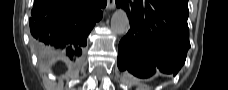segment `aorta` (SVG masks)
Masks as SVG:
<instances>
[{"label":"aorta","mask_w":228,"mask_h":90,"mask_svg":"<svg viewBox=\"0 0 228 90\" xmlns=\"http://www.w3.org/2000/svg\"><path fill=\"white\" fill-rule=\"evenodd\" d=\"M111 28L114 33L122 35L129 30V19L126 12L122 9L115 11L111 18Z\"/></svg>","instance_id":"762f6f07"}]
</instances>
